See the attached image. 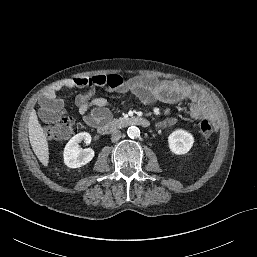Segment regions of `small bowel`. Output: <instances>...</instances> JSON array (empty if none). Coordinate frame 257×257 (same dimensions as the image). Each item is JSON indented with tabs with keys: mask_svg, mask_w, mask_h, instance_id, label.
<instances>
[{
	"mask_svg": "<svg viewBox=\"0 0 257 257\" xmlns=\"http://www.w3.org/2000/svg\"><path fill=\"white\" fill-rule=\"evenodd\" d=\"M63 88L87 89L85 93L76 97L75 103L83 122L91 127H98L111 119L109 103L105 98L95 97L96 88H104L119 94L132 93L144 104L154 101L169 104L188 101L189 112L193 118L202 119L211 115V104L204 93L182 81L158 80L148 76L123 79L120 75L111 74L70 78L54 83L40 100V113L45 120L54 121L58 118L62 101L57 98V93ZM175 123V118H167L158 126L167 128Z\"/></svg>",
	"mask_w": 257,
	"mask_h": 257,
	"instance_id": "small-bowel-1",
	"label": "small bowel"
}]
</instances>
